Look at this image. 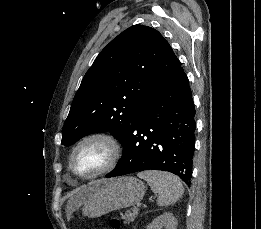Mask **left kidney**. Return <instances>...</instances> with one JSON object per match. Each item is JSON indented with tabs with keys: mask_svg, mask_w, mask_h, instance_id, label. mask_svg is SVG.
I'll list each match as a JSON object with an SVG mask.
<instances>
[{
	"mask_svg": "<svg viewBox=\"0 0 261 229\" xmlns=\"http://www.w3.org/2000/svg\"><path fill=\"white\" fill-rule=\"evenodd\" d=\"M177 219L173 217L172 213H164L157 219H154L147 229H177Z\"/></svg>",
	"mask_w": 261,
	"mask_h": 229,
	"instance_id": "1",
	"label": "left kidney"
}]
</instances>
